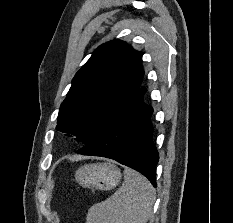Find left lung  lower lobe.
<instances>
[{"mask_svg": "<svg viewBox=\"0 0 233 223\" xmlns=\"http://www.w3.org/2000/svg\"><path fill=\"white\" fill-rule=\"evenodd\" d=\"M141 87L78 153L111 158L146 176L156 187L159 155L152 142L153 109L143 102Z\"/></svg>", "mask_w": 233, "mask_h": 223, "instance_id": "obj_1", "label": "left lung lower lobe"}]
</instances>
